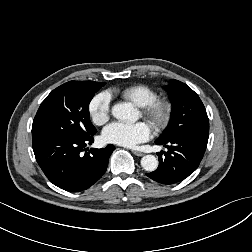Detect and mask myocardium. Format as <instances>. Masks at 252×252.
<instances>
[{
  "label": "myocardium",
  "instance_id": "1",
  "mask_svg": "<svg viewBox=\"0 0 252 252\" xmlns=\"http://www.w3.org/2000/svg\"><path fill=\"white\" fill-rule=\"evenodd\" d=\"M171 112V103L168 100L160 98H156L148 105L142 107V115L157 130L164 129L168 125Z\"/></svg>",
  "mask_w": 252,
  "mask_h": 252
}]
</instances>
